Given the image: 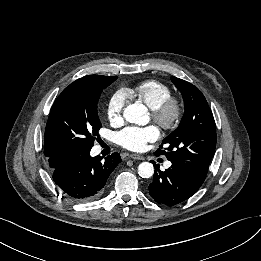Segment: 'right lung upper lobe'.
<instances>
[{
    "label": "right lung upper lobe",
    "instance_id": "obj_1",
    "mask_svg": "<svg viewBox=\"0 0 261 261\" xmlns=\"http://www.w3.org/2000/svg\"><path fill=\"white\" fill-rule=\"evenodd\" d=\"M96 76H100V75H89V76H85L82 78L92 79ZM73 158H74V156H69V155L52 156V157H49V159H48L49 166L51 167L52 170H54Z\"/></svg>",
    "mask_w": 261,
    "mask_h": 261
}]
</instances>
